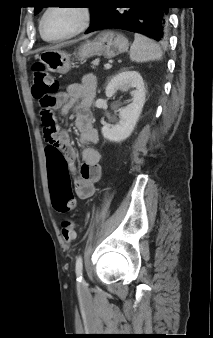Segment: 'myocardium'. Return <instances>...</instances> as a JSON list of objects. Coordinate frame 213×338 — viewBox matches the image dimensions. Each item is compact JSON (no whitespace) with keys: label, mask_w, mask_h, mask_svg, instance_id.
Returning a JSON list of instances; mask_svg holds the SVG:
<instances>
[{"label":"myocardium","mask_w":213,"mask_h":338,"mask_svg":"<svg viewBox=\"0 0 213 338\" xmlns=\"http://www.w3.org/2000/svg\"><path fill=\"white\" fill-rule=\"evenodd\" d=\"M55 8H58V7L47 8L41 16L40 23H39V32H40V35H41V37L44 41H46V42H60V41H64V40H67V39H71L73 37L80 35L81 33H83L89 27L90 22H91V11H90L89 7L84 6V5H71V6H69V8L77 9L81 13L80 25L74 31H72V32H70V33H68L64 36H61V37H58V38H47V37H45L44 33H43V25H44L45 18Z\"/></svg>","instance_id":"myocardium-1"}]
</instances>
